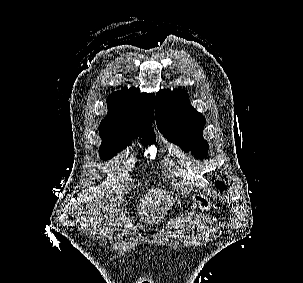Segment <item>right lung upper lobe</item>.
<instances>
[{
  "instance_id": "1",
  "label": "right lung upper lobe",
  "mask_w": 303,
  "mask_h": 283,
  "mask_svg": "<svg viewBox=\"0 0 303 283\" xmlns=\"http://www.w3.org/2000/svg\"><path fill=\"white\" fill-rule=\"evenodd\" d=\"M153 100L152 94H140L126 87L110 94L108 113L100 123L99 132L124 133L139 127L152 128Z\"/></svg>"
}]
</instances>
